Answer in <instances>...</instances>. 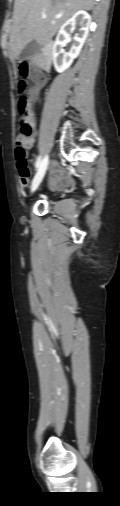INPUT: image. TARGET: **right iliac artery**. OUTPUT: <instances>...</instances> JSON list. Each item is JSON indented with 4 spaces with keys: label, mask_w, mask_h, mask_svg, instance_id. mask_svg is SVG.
I'll return each instance as SVG.
<instances>
[{
    "label": "right iliac artery",
    "mask_w": 120,
    "mask_h": 506,
    "mask_svg": "<svg viewBox=\"0 0 120 506\" xmlns=\"http://www.w3.org/2000/svg\"><path fill=\"white\" fill-rule=\"evenodd\" d=\"M47 165H48V162L47 161H44L42 162L41 161V156H39L37 158V161H36V169L39 171V169L42 167L43 168V171H45V169L47 168ZM40 177L43 176V173H40L39 174Z\"/></svg>",
    "instance_id": "right-iliac-artery-1"
}]
</instances>
